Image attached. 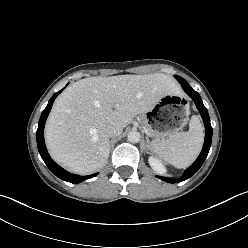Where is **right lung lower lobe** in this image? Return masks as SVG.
I'll return each instance as SVG.
<instances>
[{
    "label": "right lung lower lobe",
    "mask_w": 248,
    "mask_h": 248,
    "mask_svg": "<svg viewBox=\"0 0 248 248\" xmlns=\"http://www.w3.org/2000/svg\"><path fill=\"white\" fill-rule=\"evenodd\" d=\"M62 90L55 93L51 97V99L48 102V105L46 106V108L44 109V111L41 114L39 124H38L37 133H36L37 146H38V150H39V153H40L42 159L46 163L47 167L51 170V172H53L57 177H59L62 180H65L67 182H71L73 184H77V183H80L86 179L92 178V177L96 176L97 174H93V175H89V176H78V175H74V174L67 172L66 170H64L62 167L57 165L51 159V157L49 156L48 151L46 149L45 142H44V126H45L46 119H47L48 114L52 108V105H53L55 98L62 92Z\"/></svg>",
    "instance_id": "right-lung-lower-lobe-1"
}]
</instances>
